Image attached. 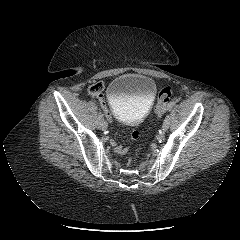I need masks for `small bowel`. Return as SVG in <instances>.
Masks as SVG:
<instances>
[{"label": "small bowel", "mask_w": 240, "mask_h": 240, "mask_svg": "<svg viewBox=\"0 0 240 240\" xmlns=\"http://www.w3.org/2000/svg\"><path fill=\"white\" fill-rule=\"evenodd\" d=\"M97 96H98L97 100H98L99 103L102 104V103L105 102L106 98H105V96L103 95V93L100 92V93H98ZM101 111H102V113H103L104 115H106L105 120H106L107 123L111 124V123L114 122L115 119H114V117H113L112 115H110L111 110H110V108H109L108 106H106V105L103 106L102 109H101ZM139 137H140V134H139V132H138L137 130L129 131V132H127V134H126V138H127V140H129V141H137V140L139 139ZM112 144H113V146H114L115 152L118 153V154H124V153H126L127 150H128L127 147H125V146H123V145H121V144H118V143H116V142H113V141H112Z\"/></svg>", "instance_id": "obj_1"}]
</instances>
